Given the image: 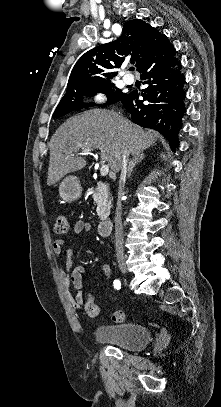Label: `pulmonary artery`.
Masks as SVG:
<instances>
[{
  "mask_svg": "<svg viewBox=\"0 0 221 407\" xmlns=\"http://www.w3.org/2000/svg\"><path fill=\"white\" fill-rule=\"evenodd\" d=\"M123 81L127 84L133 83L134 79L131 75L127 74L123 77Z\"/></svg>",
  "mask_w": 221,
  "mask_h": 407,
  "instance_id": "obj_1",
  "label": "pulmonary artery"
}]
</instances>
